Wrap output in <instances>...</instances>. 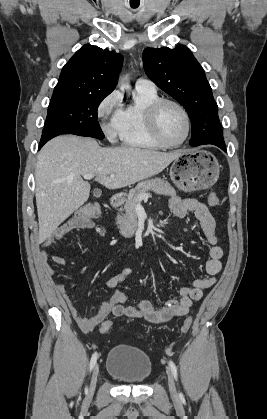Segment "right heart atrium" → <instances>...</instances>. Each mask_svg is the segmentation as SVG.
<instances>
[{"label": "right heart atrium", "mask_w": 267, "mask_h": 419, "mask_svg": "<svg viewBox=\"0 0 267 419\" xmlns=\"http://www.w3.org/2000/svg\"><path fill=\"white\" fill-rule=\"evenodd\" d=\"M121 97L117 91H113L104 97L97 107V118L105 136L114 141L118 136V121L120 113Z\"/></svg>", "instance_id": "right-heart-atrium-1"}]
</instances>
